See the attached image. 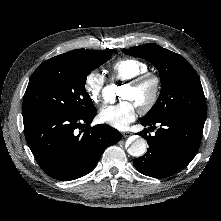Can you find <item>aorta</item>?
<instances>
[{
  "label": "aorta",
  "mask_w": 221,
  "mask_h": 221,
  "mask_svg": "<svg viewBox=\"0 0 221 221\" xmlns=\"http://www.w3.org/2000/svg\"><path fill=\"white\" fill-rule=\"evenodd\" d=\"M146 151L147 142L142 137H136L127 149V152L134 157H141L146 153Z\"/></svg>",
  "instance_id": "obj_1"
}]
</instances>
